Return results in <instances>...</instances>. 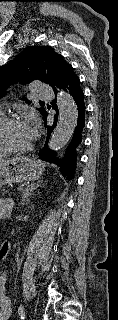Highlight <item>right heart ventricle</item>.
<instances>
[{"label": "right heart ventricle", "mask_w": 118, "mask_h": 320, "mask_svg": "<svg viewBox=\"0 0 118 320\" xmlns=\"http://www.w3.org/2000/svg\"><path fill=\"white\" fill-rule=\"evenodd\" d=\"M2 116H3V114L0 110V119L2 118ZM7 154H8V152H6L3 148L0 147V158L6 156Z\"/></svg>", "instance_id": "right-heart-ventricle-1"}]
</instances>
